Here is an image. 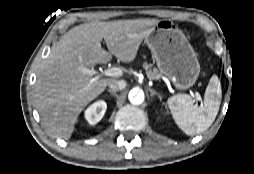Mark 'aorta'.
Here are the masks:
<instances>
[{
	"label": "aorta",
	"mask_w": 254,
	"mask_h": 174,
	"mask_svg": "<svg viewBox=\"0 0 254 174\" xmlns=\"http://www.w3.org/2000/svg\"><path fill=\"white\" fill-rule=\"evenodd\" d=\"M144 92L138 88L132 89L128 94L129 101L134 105H140L144 101Z\"/></svg>",
	"instance_id": "obj_1"
}]
</instances>
